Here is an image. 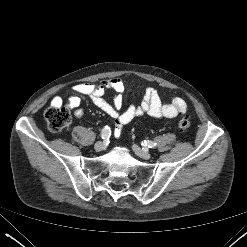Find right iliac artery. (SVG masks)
<instances>
[{"mask_svg": "<svg viewBox=\"0 0 247 247\" xmlns=\"http://www.w3.org/2000/svg\"><path fill=\"white\" fill-rule=\"evenodd\" d=\"M111 135V130L108 126H105L101 132L102 139H108Z\"/></svg>", "mask_w": 247, "mask_h": 247, "instance_id": "82829eb1", "label": "right iliac artery"}]
</instances>
